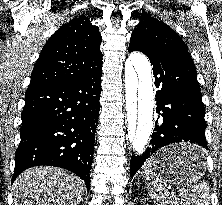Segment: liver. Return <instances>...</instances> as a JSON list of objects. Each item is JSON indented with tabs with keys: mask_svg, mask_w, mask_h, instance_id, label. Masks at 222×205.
Instances as JSON below:
<instances>
[{
	"mask_svg": "<svg viewBox=\"0 0 222 205\" xmlns=\"http://www.w3.org/2000/svg\"><path fill=\"white\" fill-rule=\"evenodd\" d=\"M85 189L83 181L67 170L37 166L15 180L14 205H79Z\"/></svg>",
	"mask_w": 222,
	"mask_h": 205,
	"instance_id": "6515ba94",
	"label": "liver"
}]
</instances>
